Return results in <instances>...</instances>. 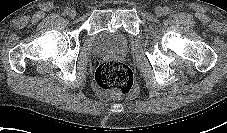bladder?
Returning a JSON list of instances; mask_svg holds the SVG:
<instances>
[{"label":"bladder","instance_id":"1","mask_svg":"<svg viewBox=\"0 0 227 133\" xmlns=\"http://www.w3.org/2000/svg\"><path fill=\"white\" fill-rule=\"evenodd\" d=\"M129 40L122 31L100 32L94 41L93 49L96 53H122L128 48Z\"/></svg>","mask_w":227,"mask_h":133}]
</instances>
